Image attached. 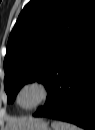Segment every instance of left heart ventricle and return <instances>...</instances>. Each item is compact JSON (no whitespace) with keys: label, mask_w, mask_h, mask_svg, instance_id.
Here are the masks:
<instances>
[{"label":"left heart ventricle","mask_w":95,"mask_h":130,"mask_svg":"<svg viewBox=\"0 0 95 130\" xmlns=\"http://www.w3.org/2000/svg\"><path fill=\"white\" fill-rule=\"evenodd\" d=\"M42 97L41 90L36 86L25 88L19 95V104L22 107L29 108L36 105Z\"/></svg>","instance_id":"left-heart-ventricle-1"}]
</instances>
